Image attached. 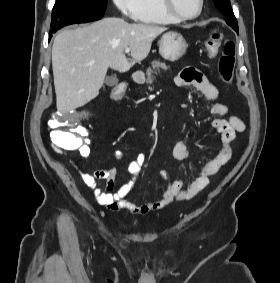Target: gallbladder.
I'll return each mask as SVG.
<instances>
[{"label": "gallbladder", "mask_w": 280, "mask_h": 283, "mask_svg": "<svg viewBox=\"0 0 280 283\" xmlns=\"http://www.w3.org/2000/svg\"><path fill=\"white\" fill-rule=\"evenodd\" d=\"M118 82H119V80H118V78L115 75H109L105 79V84L108 87L116 86L118 84Z\"/></svg>", "instance_id": "1"}]
</instances>
